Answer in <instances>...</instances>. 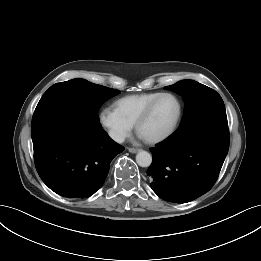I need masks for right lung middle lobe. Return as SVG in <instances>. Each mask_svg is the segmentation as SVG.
<instances>
[{
  "mask_svg": "<svg viewBox=\"0 0 261 261\" xmlns=\"http://www.w3.org/2000/svg\"><path fill=\"white\" fill-rule=\"evenodd\" d=\"M119 93L118 90L84 79L54 84L40 99L32 123L55 113L77 114L99 121L98 110L101 105Z\"/></svg>",
  "mask_w": 261,
  "mask_h": 261,
  "instance_id": "1",
  "label": "right lung middle lobe"
}]
</instances>
